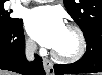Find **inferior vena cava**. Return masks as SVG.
Masks as SVG:
<instances>
[{"label":"inferior vena cava","instance_id":"602c4592","mask_svg":"<svg viewBox=\"0 0 102 75\" xmlns=\"http://www.w3.org/2000/svg\"><path fill=\"white\" fill-rule=\"evenodd\" d=\"M37 45L35 42L32 40H27L26 41V46H25V55L27 60L32 61L34 60V54L36 52Z\"/></svg>","mask_w":102,"mask_h":75}]
</instances>
